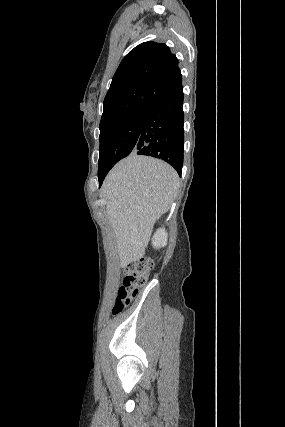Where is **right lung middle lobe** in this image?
Listing matches in <instances>:
<instances>
[{"instance_id":"obj_1","label":"right lung middle lobe","mask_w":285,"mask_h":427,"mask_svg":"<svg viewBox=\"0 0 285 427\" xmlns=\"http://www.w3.org/2000/svg\"><path fill=\"white\" fill-rule=\"evenodd\" d=\"M146 109L134 111L100 125L98 173L108 172L119 160L134 151Z\"/></svg>"}]
</instances>
